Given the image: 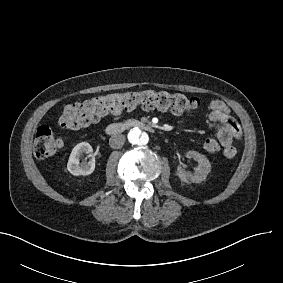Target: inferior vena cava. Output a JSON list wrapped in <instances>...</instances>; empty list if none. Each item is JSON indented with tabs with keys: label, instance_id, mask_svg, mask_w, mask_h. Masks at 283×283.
Listing matches in <instances>:
<instances>
[{
	"label": "inferior vena cava",
	"instance_id": "602c4592",
	"mask_svg": "<svg viewBox=\"0 0 283 283\" xmlns=\"http://www.w3.org/2000/svg\"><path fill=\"white\" fill-rule=\"evenodd\" d=\"M125 143V136L122 134H115L110 137L109 145L113 149H120Z\"/></svg>",
	"mask_w": 283,
	"mask_h": 283
}]
</instances>
